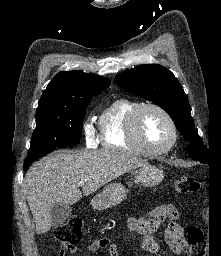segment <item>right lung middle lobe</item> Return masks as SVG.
I'll return each mask as SVG.
<instances>
[{"instance_id": "obj_1", "label": "right lung middle lobe", "mask_w": 221, "mask_h": 256, "mask_svg": "<svg viewBox=\"0 0 221 256\" xmlns=\"http://www.w3.org/2000/svg\"><path fill=\"white\" fill-rule=\"evenodd\" d=\"M92 98H83L73 108H62L36 113V129L24 161V170L34 159L64 145L78 144L86 107Z\"/></svg>"}]
</instances>
